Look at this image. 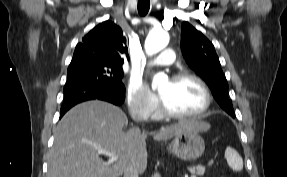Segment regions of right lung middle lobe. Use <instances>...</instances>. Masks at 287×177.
I'll use <instances>...</instances> for the list:
<instances>
[{
  "label": "right lung middle lobe",
  "instance_id": "dd1d6c3e",
  "mask_svg": "<svg viewBox=\"0 0 287 177\" xmlns=\"http://www.w3.org/2000/svg\"><path fill=\"white\" fill-rule=\"evenodd\" d=\"M89 77L108 83L122 82L123 70L116 64L103 61H82L70 63L67 80Z\"/></svg>",
  "mask_w": 287,
  "mask_h": 177
}]
</instances>
